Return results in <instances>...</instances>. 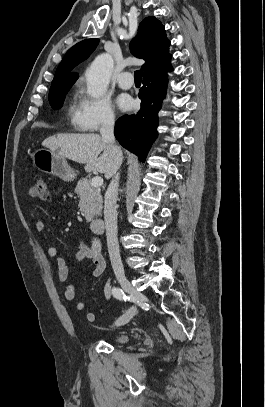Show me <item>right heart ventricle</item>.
I'll use <instances>...</instances> for the list:
<instances>
[{
    "label": "right heart ventricle",
    "instance_id": "obj_1",
    "mask_svg": "<svg viewBox=\"0 0 265 407\" xmlns=\"http://www.w3.org/2000/svg\"><path fill=\"white\" fill-rule=\"evenodd\" d=\"M67 115L69 116L72 124L78 128V129H82L79 127L77 120H76V115H77V109L74 106H70L67 112Z\"/></svg>",
    "mask_w": 265,
    "mask_h": 407
}]
</instances>
